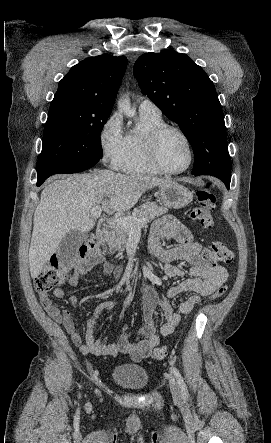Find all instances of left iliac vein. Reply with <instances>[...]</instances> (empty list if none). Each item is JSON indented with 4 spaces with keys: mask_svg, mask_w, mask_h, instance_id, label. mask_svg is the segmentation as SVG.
<instances>
[{
    "mask_svg": "<svg viewBox=\"0 0 271 443\" xmlns=\"http://www.w3.org/2000/svg\"><path fill=\"white\" fill-rule=\"evenodd\" d=\"M169 386H170V390H171L173 398L175 400H180L182 398L180 387L173 376L169 377Z\"/></svg>",
    "mask_w": 271,
    "mask_h": 443,
    "instance_id": "obj_1",
    "label": "left iliac vein"
}]
</instances>
